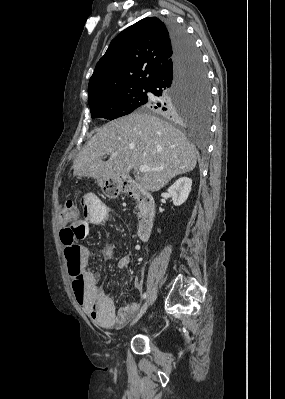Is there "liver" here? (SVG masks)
<instances>
[{
    "instance_id": "obj_1",
    "label": "liver",
    "mask_w": 285,
    "mask_h": 399,
    "mask_svg": "<svg viewBox=\"0 0 285 399\" xmlns=\"http://www.w3.org/2000/svg\"><path fill=\"white\" fill-rule=\"evenodd\" d=\"M115 153L116 156H112ZM198 151L175 126L151 114L135 112L99 128L73 160V174L80 177L111 179L127 177L141 165L150 168L141 186L158 191L172 178L192 171ZM108 155L109 160L102 157Z\"/></svg>"
}]
</instances>
